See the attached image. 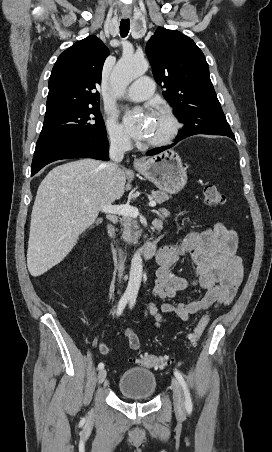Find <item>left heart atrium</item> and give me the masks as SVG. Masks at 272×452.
I'll list each match as a JSON object with an SVG mask.
<instances>
[{
  "label": "left heart atrium",
  "mask_w": 272,
  "mask_h": 452,
  "mask_svg": "<svg viewBox=\"0 0 272 452\" xmlns=\"http://www.w3.org/2000/svg\"><path fill=\"white\" fill-rule=\"evenodd\" d=\"M150 116H138L134 111L124 117V124L129 133L137 139H145L149 135L151 126Z\"/></svg>",
  "instance_id": "1"
}]
</instances>
